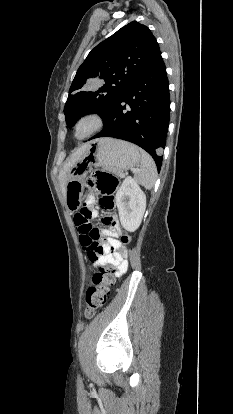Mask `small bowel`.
Returning <instances> with one entry per match:
<instances>
[{
	"instance_id": "small-bowel-1",
	"label": "small bowel",
	"mask_w": 233,
	"mask_h": 414,
	"mask_svg": "<svg viewBox=\"0 0 233 414\" xmlns=\"http://www.w3.org/2000/svg\"><path fill=\"white\" fill-rule=\"evenodd\" d=\"M94 201V196L92 195L86 201V207L91 211V218L96 216V211L93 208ZM103 221L107 225V228L103 231V235L108 238V242L104 244V253L98 257L96 262L92 263L95 267L97 265L108 264L115 269L114 274L116 276H121L128 270L127 255L126 253L123 255L120 253L121 242L118 238L122 234L121 226L117 217L113 214L104 215Z\"/></svg>"
}]
</instances>
